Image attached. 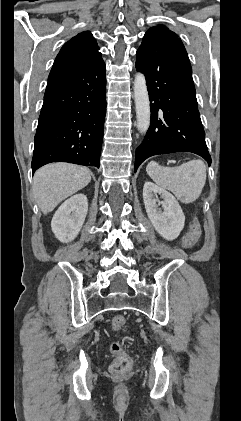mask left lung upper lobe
Wrapping results in <instances>:
<instances>
[{
	"instance_id": "left-lung-upper-lobe-1",
	"label": "left lung upper lobe",
	"mask_w": 241,
	"mask_h": 421,
	"mask_svg": "<svg viewBox=\"0 0 241 421\" xmlns=\"http://www.w3.org/2000/svg\"><path fill=\"white\" fill-rule=\"evenodd\" d=\"M146 33H164V34H168V35H172L174 37H177V35L174 32L170 31L167 27L162 26V25L154 26V27L150 28Z\"/></svg>"
}]
</instances>
